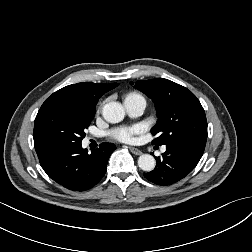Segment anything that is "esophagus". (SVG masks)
I'll return each instance as SVG.
<instances>
[{
  "instance_id": "obj_1",
  "label": "esophagus",
  "mask_w": 252,
  "mask_h": 252,
  "mask_svg": "<svg viewBox=\"0 0 252 252\" xmlns=\"http://www.w3.org/2000/svg\"><path fill=\"white\" fill-rule=\"evenodd\" d=\"M128 148L135 155H141L142 154V152L139 149L135 148V147H128Z\"/></svg>"
}]
</instances>
